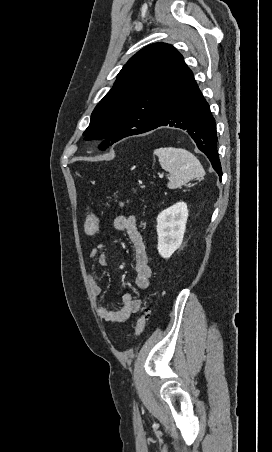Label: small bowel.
<instances>
[{"label":"small bowel","mask_w":272,"mask_h":452,"mask_svg":"<svg viewBox=\"0 0 272 452\" xmlns=\"http://www.w3.org/2000/svg\"><path fill=\"white\" fill-rule=\"evenodd\" d=\"M114 227L119 231H125L129 235L134 249L135 283L139 289H147L150 286L151 268L149 265L148 253L141 232L137 227L136 217L134 215L119 214L114 219ZM107 249L105 243H98L90 252V259H97L102 266L108 265V260L104 254ZM89 284L97 302L98 314L107 323L123 324L130 320L133 314L137 313L142 307V300L125 294L122 297V307L119 309L111 308L101 301L104 288L93 276L89 277Z\"/></svg>","instance_id":"small-bowel-1"}]
</instances>
